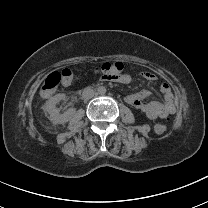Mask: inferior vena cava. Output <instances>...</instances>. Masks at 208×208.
Wrapping results in <instances>:
<instances>
[{"label":"inferior vena cava","instance_id":"obj_1","mask_svg":"<svg viewBox=\"0 0 208 208\" xmlns=\"http://www.w3.org/2000/svg\"><path fill=\"white\" fill-rule=\"evenodd\" d=\"M95 92L92 88L86 87L82 92V98L85 100L91 99L94 96Z\"/></svg>","mask_w":208,"mask_h":208}]
</instances>
